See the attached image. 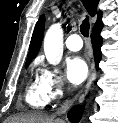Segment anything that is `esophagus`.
I'll return each mask as SVG.
<instances>
[{
	"mask_svg": "<svg viewBox=\"0 0 118 123\" xmlns=\"http://www.w3.org/2000/svg\"><path fill=\"white\" fill-rule=\"evenodd\" d=\"M94 77H95V71L93 70V71H92V73H91V76H90L89 82H88V84H87V85H86V87H85V90H84V91L81 93V95H80V101H82V100H83V98H84L85 94L87 93L88 89H89V88H90V86H91V83H92V81H93Z\"/></svg>",
	"mask_w": 118,
	"mask_h": 123,
	"instance_id": "34e87169",
	"label": "esophagus"
}]
</instances>
